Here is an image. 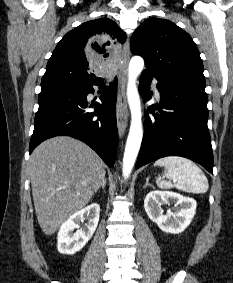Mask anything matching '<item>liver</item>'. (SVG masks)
Masks as SVG:
<instances>
[{
  "label": "liver",
  "mask_w": 233,
  "mask_h": 283,
  "mask_svg": "<svg viewBox=\"0 0 233 283\" xmlns=\"http://www.w3.org/2000/svg\"><path fill=\"white\" fill-rule=\"evenodd\" d=\"M36 216L46 235L54 234L85 207L105 176L102 159L69 136L42 142L29 161Z\"/></svg>",
  "instance_id": "1"
}]
</instances>
